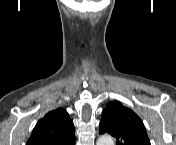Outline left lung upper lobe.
Instances as JSON below:
<instances>
[{
	"label": "left lung upper lobe",
	"instance_id": "1",
	"mask_svg": "<svg viewBox=\"0 0 176 145\" xmlns=\"http://www.w3.org/2000/svg\"><path fill=\"white\" fill-rule=\"evenodd\" d=\"M108 132L117 145H151L142 120L120 102H110L102 113L99 133Z\"/></svg>",
	"mask_w": 176,
	"mask_h": 145
}]
</instances>
